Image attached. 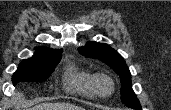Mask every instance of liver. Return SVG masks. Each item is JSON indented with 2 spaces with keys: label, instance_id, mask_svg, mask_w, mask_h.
I'll use <instances>...</instances> for the list:
<instances>
[{
  "label": "liver",
  "instance_id": "obj_1",
  "mask_svg": "<svg viewBox=\"0 0 171 110\" xmlns=\"http://www.w3.org/2000/svg\"><path fill=\"white\" fill-rule=\"evenodd\" d=\"M30 110H83L81 107L69 103H42Z\"/></svg>",
  "mask_w": 171,
  "mask_h": 110
}]
</instances>
